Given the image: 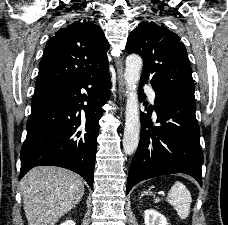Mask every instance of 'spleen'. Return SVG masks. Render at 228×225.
<instances>
[{"label": "spleen", "mask_w": 228, "mask_h": 225, "mask_svg": "<svg viewBox=\"0 0 228 225\" xmlns=\"http://www.w3.org/2000/svg\"><path fill=\"white\" fill-rule=\"evenodd\" d=\"M154 201L155 203H159L160 199L154 197ZM166 201L177 211L180 219H187L189 217L192 197L190 191L180 181H176L175 185L171 187Z\"/></svg>", "instance_id": "obj_1"}]
</instances>
